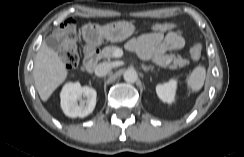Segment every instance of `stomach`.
I'll list each match as a JSON object with an SVG mask.
<instances>
[{"label": "stomach", "instance_id": "1", "mask_svg": "<svg viewBox=\"0 0 244 157\" xmlns=\"http://www.w3.org/2000/svg\"><path fill=\"white\" fill-rule=\"evenodd\" d=\"M135 32L132 22L116 21L106 25L86 24L82 28L83 38L89 46H98L106 39L110 42H121Z\"/></svg>", "mask_w": 244, "mask_h": 157}]
</instances>
